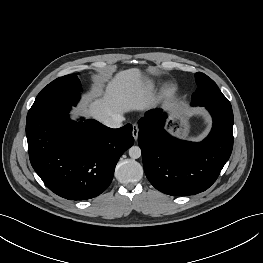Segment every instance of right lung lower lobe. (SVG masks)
Segmentation results:
<instances>
[{"instance_id": "98d812e1", "label": "right lung lower lobe", "mask_w": 263, "mask_h": 263, "mask_svg": "<svg viewBox=\"0 0 263 263\" xmlns=\"http://www.w3.org/2000/svg\"><path fill=\"white\" fill-rule=\"evenodd\" d=\"M70 107L54 106L26 123L29 158L55 194L86 200L110 185L117 161L134 143L132 125L111 129L95 120L71 121Z\"/></svg>"}]
</instances>
